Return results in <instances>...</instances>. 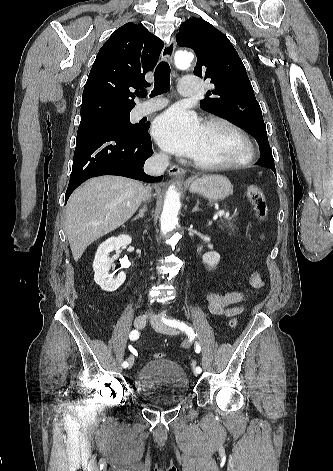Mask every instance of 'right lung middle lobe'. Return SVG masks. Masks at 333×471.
Here are the masks:
<instances>
[{
    "instance_id": "right-lung-middle-lobe-1",
    "label": "right lung middle lobe",
    "mask_w": 333,
    "mask_h": 471,
    "mask_svg": "<svg viewBox=\"0 0 333 471\" xmlns=\"http://www.w3.org/2000/svg\"><path fill=\"white\" fill-rule=\"evenodd\" d=\"M130 111L112 113L96 118L81 120L79 127L98 125V124H109L117 125L128 129H136L139 127L138 124H131L129 121Z\"/></svg>"
}]
</instances>
